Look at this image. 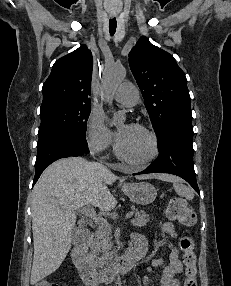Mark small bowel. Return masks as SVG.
<instances>
[{
    "mask_svg": "<svg viewBox=\"0 0 231 286\" xmlns=\"http://www.w3.org/2000/svg\"><path fill=\"white\" fill-rule=\"evenodd\" d=\"M161 228L170 237L175 238L177 236L172 224L163 223ZM132 239H133L134 245L138 240H142L146 243L144 237L140 235H133ZM157 267L163 268L162 278L160 280L159 286H181L179 280L176 278V275L180 274L183 271V265L179 259V251L177 248H173L171 250L168 262H165L161 258L155 259L152 261L147 271L150 272L154 268H157ZM143 283H144V286H148L149 279L147 275L144 276Z\"/></svg>",
    "mask_w": 231,
    "mask_h": 286,
    "instance_id": "c3829d8e",
    "label": "small bowel"
}]
</instances>
